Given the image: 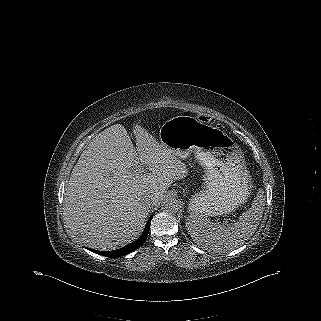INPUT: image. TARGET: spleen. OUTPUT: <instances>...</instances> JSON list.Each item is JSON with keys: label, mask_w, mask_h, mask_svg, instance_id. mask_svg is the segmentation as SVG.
Returning a JSON list of instances; mask_svg holds the SVG:
<instances>
[{"label": "spleen", "mask_w": 321, "mask_h": 321, "mask_svg": "<svg viewBox=\"0 0 321 321\" xmlns=\"http://www.w3.org/2000/svg\"><path fill=\"white\" fill-rule=\"evenodd\" d=\"M265 209V195L262 191L254 198L251 208L239 220L226 227L210 219L192 214L186 220V227L193 240L203 248L214 252H226L239 247L257 230Z\"/></svg>", "instance_id": "spleen-1"}]
</instances>
